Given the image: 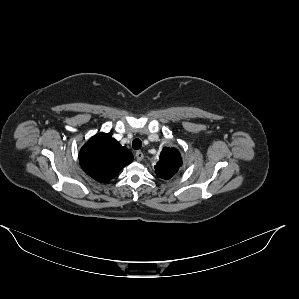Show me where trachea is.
Here are the masks:
<instances>
[{
  "label": "trachea",
  "instance_id": "1",
  "mask_svg": "<svg viewBox=\"0 0 299 299\" xmlns=\"http://www.w3.org/2000/svg\"><path fill=\"white\" fill-rule=\"evenodd\" d=\"M132 147H133V149H135V150L140 149V148L142 147V142H141V140L138 139V138H135V139L132 141Z\"/></svg>",
  "mask_w": 299,
  "mask_h": 299
}]
</instances>
